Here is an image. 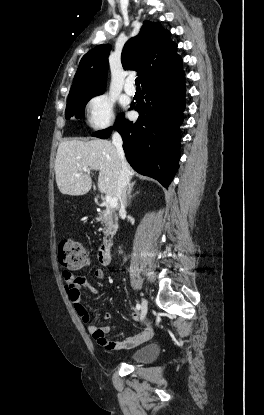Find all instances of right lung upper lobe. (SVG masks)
<instances>
[{
    "mask_svg": "<svg viewBox=\"0 0 264 415\" xmlns=\"http://www.w3.org/2000/svg\"><path fill=\"white\" fill-rule=\"evenodd\" d=\"M109 51L110 46L102 44L82 57L69 97L104 92ZM121 61L125 69L137 70L142 86L183 70L177 44L159 22H144L139 34L125 44Z\"/></svg>",
    "mask_w": 264,
    "mask_h": 415,
    "instance_id": "obj_1",
    "label": "right lung upper lobe"
}]
</instances>
